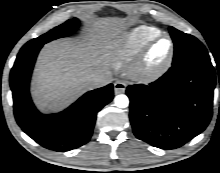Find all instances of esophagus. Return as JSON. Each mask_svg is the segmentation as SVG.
Here are the masks:
<instances>
[{"mask_svg":"<svg viewBox=\"0 0 220 173\" xmlns=\"http://www.w3.org/2000/svg\"><path fill=\"white\" fill-rule=\"evenodd\" d=\"M126 83L123 81H116L114 83V92L115 94H121L124 93L126 90Z\"/></svg>","mask_w":220,"mask_h":173,"instance_id":"obj_1","label":"esophagus"}]
</instances>
